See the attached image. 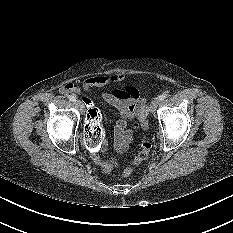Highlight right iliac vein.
Returning <instances> with one entry per match:
<instances>
[{
  "label": "right iliac vein",
  "mask_w": 233,
  "mask_h": 233,
  "mask_svg": "<svg viewBox=\"0 0 233 233\" xmlns=\"http://www.w3.org/2000/svg\"><path fill=\"white\" fill-rule=\"evenodd\" d=\"M76 104H77V106L80 108L81 112H84L85 106H84L83 102L80 101V100H77V101H76Z\"/></svg>",
  "instance_id": "1"
}]
</instances>
